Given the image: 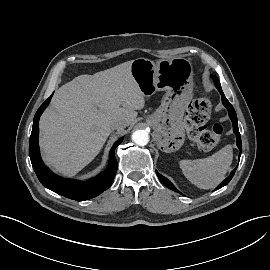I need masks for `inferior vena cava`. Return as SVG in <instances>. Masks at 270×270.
Returning a JSON list of instances; mask_svg holds the SVG:
<instances>
[{
  "label": "inferior vena cava",
  "instance_id": "602c4592",
  "mask_svg": "<svg viewBox=\"0 0 270 270\" xmlns=\"http://www.w3.org/2000/svg\"><path fill=\"white\" fill-rule=\"evenodd\" d=\"M111 127L113 130L123 129L126 127V122L122 120H117L112 123Z\"/></svg>",
  "mask_w": 270,
  "mask_h": 270
}]
</instances>
